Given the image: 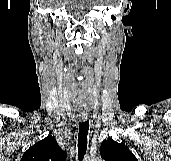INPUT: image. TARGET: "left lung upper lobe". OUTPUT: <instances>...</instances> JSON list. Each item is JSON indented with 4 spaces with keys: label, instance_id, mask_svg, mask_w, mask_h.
<instances>
[{
    "label": "left lung upper lobe",
    "instance_id": "left-lung-upper-lobe-1",
    "mask_svg": "<svg viewBox=\"0 0 171 161\" xmlns=\"http://www.w3.org/2000/svg\"><path fill=\"white\" fill-rule=\"evenodd\" d=\"M100 154L105 161H138L124 144L117 143L112 138L102 142Z\"/></svg>",
    "mask_w": 171,
    "mask_h": 161
}]
</instances>
